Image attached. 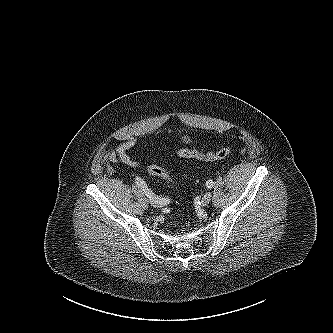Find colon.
<instances>
[{"instance_id": "5ec220e1", "label": "colon", "mask_w": 333, "mask_h": 333, "mask_svg": "<svg viewBox=\"0 0 333 333\" xmlns=\"http://www.w3.org/2000/svg\"><path fill=\"white\" fill-rule=\"evenodd\" d=\"M232 153V149L230 147H224L217 151L213 152H199L195 149H181L178 151V155L183 158H195L205 161H213V160H221L228 157ZM148 172L155 177L162 178L165 180H172L169 173L162 167L157 165H150L148 167Z\"/></svg>"}]
</instances>
